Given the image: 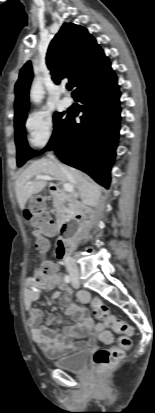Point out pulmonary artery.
<instances>
[{
    "instance_id": "1",
    "label": "pulmonary artery",
    "mask_w": 155,
    "mask_h": 413,
    "mask_svg": "<svg viewBox=\"0 0 155 413\" xmlns=\"http://www.w3.org/2000/svg\"><path fill=\"white\" fill-rule=\"evenodd\" d=\"M61 93L63 94L62 97V103L64 104V106L69 107L72 105V99L66 95V89L64 86L61 87Z\"/></svg>"
}]
</instances>
